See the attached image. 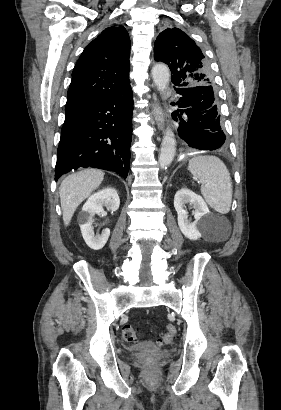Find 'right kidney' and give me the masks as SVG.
Returning a JSON list of instances; mask_svg holds the SVG:
<instances>
[{
    "label": "right kidney",
    "instance_id": "right-kidney-1",
    "mask_svg": "<svg viewBox=\"0 0 281 410\" xmlns=\"http://www.w3.org/2000/svg\"><path fill=\"white\" fill-rule=\"evenodd\" d=\"M120 199L118 193L113 188H105L94 193L88 198L79 214L78 222L81 233L86 244L93 250H100L106 244L110 230L104 229L101 234H94L93 216L103 212V206L110 208L113 212L118 210Z\"/></svg>",
    "mask_w": 281,
    "mask_h": 410
}]
</instances>
